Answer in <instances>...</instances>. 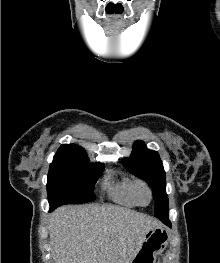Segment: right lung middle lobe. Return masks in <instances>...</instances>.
Masks as SVG:
<instances>
[{
  "instance_id": "obj_1",
  "label": "right lung middle lobe",
  "mask_w": 220,
  "mask_h": 263,
  "mask_svg": "<svg viewBox=\"0 0 220 263\" xmlns=\"http://www.w3.org/2000/svg\"><path fill=\"white\" fill-rule=\"evenodd\" d=\"M103 170V164H91L86 154L56 153L47 181L50 206L94 200V185Z\"/></svg>"
}]
</instances>
